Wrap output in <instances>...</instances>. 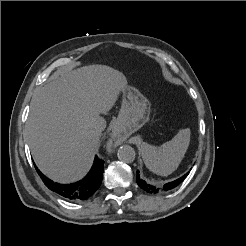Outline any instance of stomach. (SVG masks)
<instances>
[{"label":"stomach","mask_w":246,"mask_h":246,"mask_svg":"<svg viewBox=\"0 0 246 246\" xmlns=\"http://www.w3.org/2000/svg\"><path fill=\"white\" fill-rule=\"evenodd\" d=\"M150 103L136 88L126 87L123 91L121 110L117 118V127L124 134H132L148 122Z\"/></svg>","instance_id":"1"}]
</instances>
